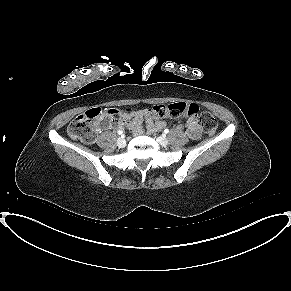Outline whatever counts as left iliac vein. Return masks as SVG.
<instances>
[{"mask_svg": "<svg viewBox=\"0 0 291 291\" xmlns=\"http://www.w3.org/2000/svg\"><path fill=\"white\" fill-rule=\"evenodd\" d=\"M157 142L162 146H166L169 141L166 137H158Z\"/></svg>", "mask_w": 291, "mask_h": 291, "instance_id": "1", "label": "left iliac vein"}]
</instances>
